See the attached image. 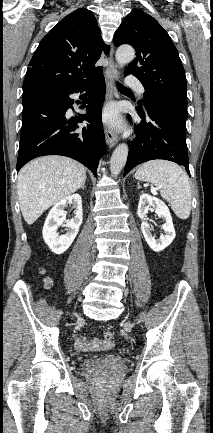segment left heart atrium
I'll return each instance as SVG.
<instances>
[{
	"label": "left heart atrium",
	"mask_w": 213,
	"mask_h": 433,
	"mask_svg": "<svg viewBox=\"0 0 213 433\" xmlns=\"http://www.w3.org/2000/svg\"><path fill=\"white\" fill-rule=\"evenodd\" d=\"M104 119L113 124L118 126L119 125V119H118V115H117V110L114 107H109L105 112H104Z\"/></svg>",
	"instance_id": "39dd6f15"
}]
</instances>
